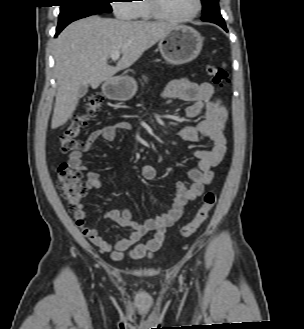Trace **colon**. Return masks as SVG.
Returning a JSON list of instances; mask_svg holds the SVG:
<instances>
[{
  "mask_svg": "<svg viewBox=\"0 0 304 329\" xmlns=\"http://www.w3.org/2000/svg\"><path fill=\"white\" fill-rule=\"evenodd\" d=\"M206 72L212 78L214 84L220 87L229 84L228 74L223 68L207 65ZM101 101L102 98L99 94H92L86 98L83 110L74 116L69 126L60 136L59 144L63 153H71L80 148L81 144L77 140V136L81 129L85 128L89 121L100 113ZM57 187L62 192L68 209L73 212L76 211L81 199L86 194L81 173L65 163L61 164L57 170ZM216 201L217 193L215 191L206 192L202 205L196 211L194 218L180 228L179 236L186 238L195 234L208 219Z\"/></svg>",
  "mask_w": 304,
  "mask_h": 329,
  "instance_id": "5ec220e1",
  "label": "colon"
}]
</instances>
